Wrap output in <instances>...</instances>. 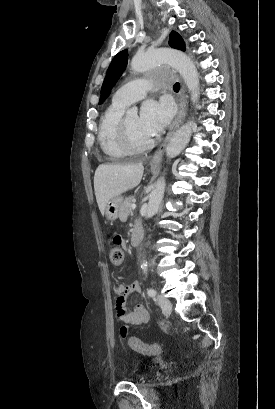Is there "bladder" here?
Returning <instances> with one entry per match:
<instances>
[{"mask_svg": "<svg viewBox=\"0 0 275 409\" xmlns=\"http://www.w3.org/2000/svg\"><path fill=\"white\" fill-rule=\"evenodd\" d=\"M147 378V376L146 375H138V376H136V381H141V380H145Z\"/></svg>", "mask_w": 275, "mask_h": 409, "instance_id": "obj_1", "label": "bladder"}]
</instances>
